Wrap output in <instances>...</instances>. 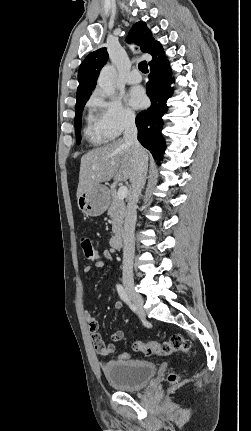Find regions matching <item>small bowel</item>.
Masks as SVG:
<instances>
[{"mask_svg": "<svg viewBox=\"0 0 251 431\" xmlns=\"http://www.w3.org/2000/svg\"><path fill=\"white\" fill-rule=\"evenodd\" d=\"M102 255L108 260L113 259L111 252L108 250H104L102 252ZM104 267H105V263L101 260H97L91 265H86L83 269V272L85 274H90V273H92L94 268L103 269ZM115 308L118 311H122L123 310V304L120 301H118L115 303ZM84 318L87 322L88 329H89V332L91 335L92 344H93L95 351L100 355H108V354H111L112 352H114V350H115L114 343L124 339L125 332L122 330H118V331L114 332L110 336L111 342L109 344H106L102 338V335L99 332V327H100L99 322L96 320V318L93 316V314L87 310L84 312Z\"/></svg>", "mask_w": 251, "mask_h": 431, "instance_id": "obj_1", "label": "small bowel"}]
</instances>
